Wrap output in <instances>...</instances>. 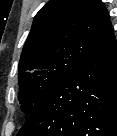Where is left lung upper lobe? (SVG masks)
Listing matches in <instances>:
<instances>
[{
	"instance_id": "left-lung-upper-lobe-1",
	"label": "left lung upper lobe",
	"mask_w": 117,
	"mask_h": 136,
	"mask_svg": "<svg viewBox=\"0 0 117 136\" xmlns=\"http://www.w3.org/2000/svg\"><path fill=\"white\" fill-rule=\"evenodd\" d=\"M111 31L100 0H49L36 14L20 57L21 110L31 114Z\"/></svg>"
}]
</instances>
